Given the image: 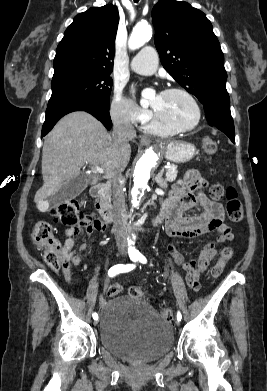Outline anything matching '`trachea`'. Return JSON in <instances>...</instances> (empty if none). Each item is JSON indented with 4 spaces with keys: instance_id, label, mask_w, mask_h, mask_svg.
Here are the masks:
<instances>
[{
    "instance_id": "3493384b",
    "label": "trachea",
    "mask_w": 267,
    "mask_h": 391,
    "mask_svg": "<svg viewBox=\"0 0 267 391\" xmlns=\"http://www.w3.org/2000/svg\"><path fill=\"white\" fill-rule=\"evenodd\" d=\"M135 2H138L139 0H134Z\"/></svg>"
}]
</instances>
